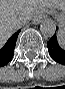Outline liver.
I'll return each instance as SVG.
<instances>
[{"label":"liver","mask_w":65,"mask_h":89,"mask_svg":"<svg viewBox=\"0 0 65 89\" xmlns=\"http://www.w3.org/2000/svg\"><path fill=\"white\" fill-rule=\"evenodd\" d=\"M60 6L52 0H0V39H8L17 29V22L22 18L30 20L42 10ZM63 6V3L61 4Z\"/></svg>","instance_id":"obj_1"}]
</instances>
